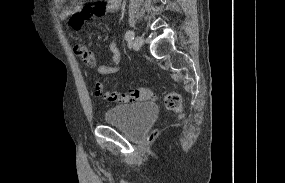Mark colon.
I'll list each match as a JSON object with an SVG mask.
<instances>
[{
	"mask_svg": "<svg viewBox=\"0 0 285 183\" xmlns=\"http://www.w3.org/2000/svg\"><path fill=\"white\" fill-rule=\"evenodd\" d=\"M98 95L103 96L109 102H135L148 101L155 97L151 87H140L127 92L105 91L100 83L95 86ZM164 104L168 110L182 113V99L179 93L169 91L164 97Z\"/></svg>",
	"mask_w": 285,
	"mask_h": 183,
	"instance_id": "5ec220e1",
	"label": "colon"
}]
</instances>
